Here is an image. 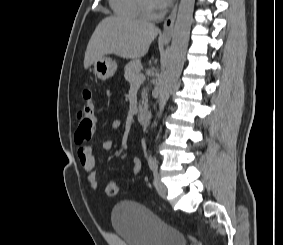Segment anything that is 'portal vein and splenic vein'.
<instances>
[{
  "mask_svg": "<svg viewBox=\"0 0 283 245\" xmlns=\"http://www.w3.org/2000/svg\"><path fill=\"white\" fill-rule=\"evenodd\" d=\"M145 79V76L143 74H141L135 81L136 84H140L141 82H143Z\"/></svg>",
  "mask_w": 283,
  "mask_h": 245,
  "instance_id": "portal-vein-and-splenic-vein-1",
  "label": "portal vein and splenic vein"
}]
</instances>
